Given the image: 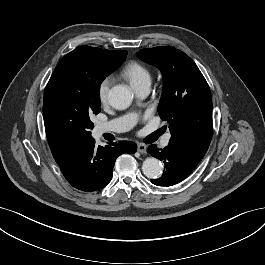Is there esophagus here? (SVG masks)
I'll return each instance as SVG.
<instances>
[{
    "label": "esophagus",
    "instance_id": "34e87169",
    "mask_svg": "<svg viewBox=\"0 0 265 265\" xmlns=\"http://www.w3.org/2000/svg\"><path fill=\"white\" fill-rule=\"evenodd\" d=\"M137 151L144 154L147 152V146L145 144L139 143L137 145Z\"/></svg>",
    "mask_w": 265,
    "mask_h": 265
}]
</instances>
